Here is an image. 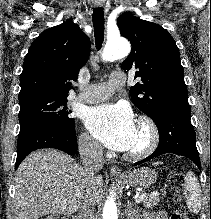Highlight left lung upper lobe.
I'll return each mask as SVG.
<instances>
[{
	"mask_svg": "<svg viewBox=\"0 0 211 219\" xmlns=\"http://www.w3.org/2000/svg\"><path fill=\"white\" fill-rule=\"evenodd\" d=\"M120 34L132 44L130 55L121 64L136 68L135 86L130 88L133 103L153 120L171 105H189L178 47L160 25L123 14L117 20Z\"/></svg>",
	"mask_w": 211,
	"mask_h": 219,
	"instance_id": "obj_1",
	"label": "left lung upper lobe"
}]
</instances>
